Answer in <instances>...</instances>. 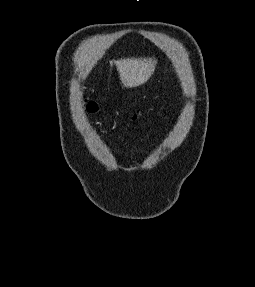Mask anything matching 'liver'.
Instances as JSON below:
<instances>
[{
    "mask_svg": "<svg viewBox=\"0 0 255 287\" xmlns=\"http://www.w3.org/2000/svg\"><path fill=\"white\" fill-rule=\"evenodd\" d=\"M113 64V62H110ZM119 72V78L125 88H137L149 80L155 70L157 60L155 58H130V60H114Z\"/></svg>",
    "mask_w": 255,
    "mask_h": 287,
    "instance_id": "obj_1",
    "label": "liver"
}]
</instances>
